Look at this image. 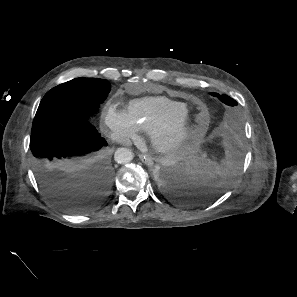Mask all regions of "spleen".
Returning a JSON list of instances; mask_svg holds the SVG:
<instances>
[{
  "label": "spleen",
  "instance_id": "spleen-1",
  "mask_svg": "<svg viewBox=\"0 0 297 297\" xmlns=\"http://www.w3.org/2000/svg\"><path fill=\"white\" fill-rule=\"evenodd\" d=\"M190 165L193 167L194 171L196 172H203L206 170H209L211 168H216L217 163L213 162L211 160H198L196 158H191L190 159Z\"/></svg>",
  "mask_w": 297,
  "mask_h": 297
}]
</instances>
